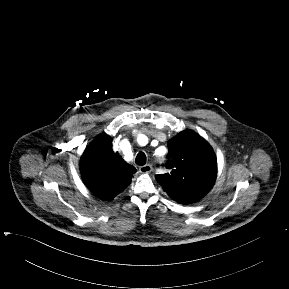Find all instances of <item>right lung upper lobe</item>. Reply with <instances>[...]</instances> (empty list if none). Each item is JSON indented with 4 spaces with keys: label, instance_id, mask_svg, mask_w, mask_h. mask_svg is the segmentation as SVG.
I'll use <instances>...</instances> for the list:
<instances>
[{
    "label": "right lung upper lobe",
    "instance_id": "right-lung-upper-lobe-1",
    "mask_svg": "<svg viewBox=\"0 0 289 289\" xmlns=\"http://www.w3.org/2000/svg\"><path fill=\"white\" fill-rule=\"evenodd\" d=\"M81 174L86 186L103 200H112L131 182L134 166L112 149V138L99 135L81 157Z\"/></svg>",
    "mask_w": 289,
    "mask_h": 289
}]
</instances>
